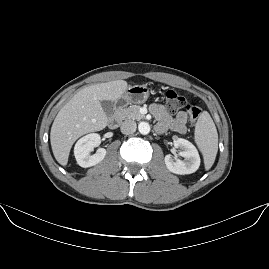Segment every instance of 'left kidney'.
<instances>
[{
    "label": "left kidney",
    "mask_w": 269,
    "mask_h": 269,
    "mask_svg": "<svg viewBox=\"0 0 269 269\" xmlns=\"http://www.w3.org/2000/svg\"><path fill=\"white\" fill-rule=\"evenodd\" d=\"M175 148H180L182 151L179 155L184 157V160L174 159L170 154L165 156V164L167 169L175 174H191L197 171L200 166V156L196 147L188 140L178 138L173 141Z\"/></svg>",
    "instance_id": "left-kidney-1"
}]
</instances>
